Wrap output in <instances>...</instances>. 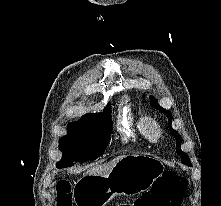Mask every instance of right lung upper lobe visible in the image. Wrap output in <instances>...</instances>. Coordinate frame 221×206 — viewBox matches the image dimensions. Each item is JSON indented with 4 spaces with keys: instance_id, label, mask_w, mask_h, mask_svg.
<instances>
[{
    "instance_id": "cb5924a9",
    "label": "right lung upper lobe",
    "mask_w": 221,
    "mask_h": 206,
    "mask_svg": "<svg viewBox=\"0 0 221 206\" xmlns=\"http://www.w3.org/2000/svg\"><path fill=\"white\" fill-rule=\"evenodd\" d=\"M107 112H111V110H110V104H108V105L105 107L104 113H102V114H105V113H107ZM87 115H91V114H87ZM87 115H85V116H87Z\"/></svg>"
}]
</instances>
